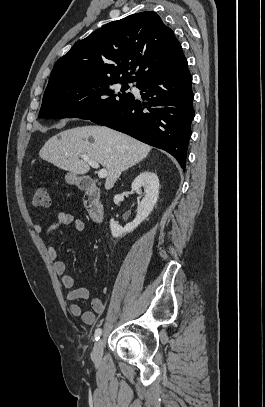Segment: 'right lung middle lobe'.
Instances as JSON below:
<instances>
[{
    "mask_svg": "<svg viewBox=\"0 0 265 407\" xmlns=\"http://www.w3.org/2000/svg\"><path fill=\"white\" fill-rule=\"evenodd\" d=\"M122 85L121 90L115 84ZM128 83L123 80H83L48 83L45 90L40 118H81L92 120L116 107L133 100L125 91Z\"/></svg>",
    "mask_w": 265,
    "mask_h": 407,
    "instance_id": "right-lung-middle-lobe-1",
    "label": "right lung middle lobe"
}]
</instances>
